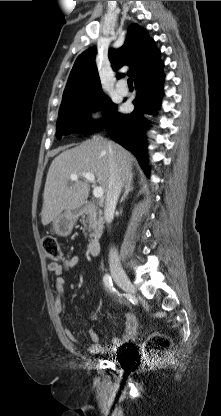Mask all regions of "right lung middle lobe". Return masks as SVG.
Wrapping results in <instances>:
<instances>
[{"mask_svg": "<svg viewBox=\"0 0 221 416\" xmlns=\"http://www.w3.org/2000/svg\"><path fill=\"white\" fill-rule=\"evenodd\" d=\"M106 104L110 106L107 119L98 122H94L90 119V110L105 106ZM115 108L116 106L108 100L104 93L61 103L56 130L58 139L65 134L73 132L91 134L99 131L107 124L109 117L115 111Z\"/></svg>", "mask_w": 221, "mask_h": 416, "instance_id": "dd1d6c3e", "label": "right lung middle lobe"}]
</instances>
